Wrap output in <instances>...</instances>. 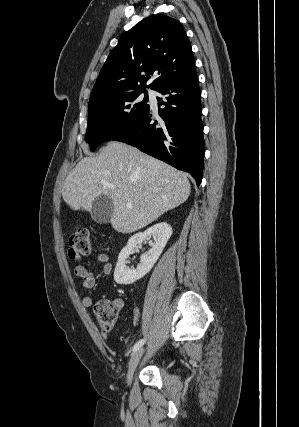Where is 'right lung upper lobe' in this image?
Listing matches in <instances>:
<instances>
[{"label":"right lung upper lobe","mask_w":299,"mask_h":427,"mask_svg":"<svg viewBox=\"0 0 299 427\" xmlns=\"http://www.w3.org/2000/svg\"><path fill=\"white\" fill-rule=\"evenodd\" d=\"M195 61L179 21L152 15L135 25L109 54L94 85L89 105L117 94L157 90L195 74ZM158 77L148 86L150 75Z\"/></svg>","instance_id":"cb5924a9"}]
</instances>
